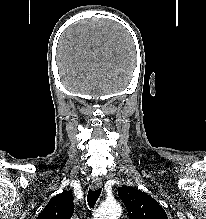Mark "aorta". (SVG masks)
Listing matches in <instances>:
<instances>
[{
  "label": "aorta",
  "mask_w": 206,
  "mask_h": 219,
  "mask_svg": "<svg viewBox=\"0 0 206 219\" xmlns=\"http://www.w3.org/2000/svg\"><path fill=\"white\" fill-rule=\"evenodd\" d=\"M121 211V206L117 202L104 203L96 210L93 219H118Z\"/></svg>",
  "instance_id": "1"
}]
</instances>
